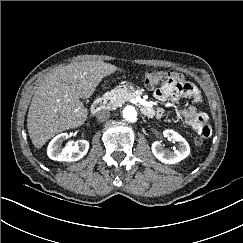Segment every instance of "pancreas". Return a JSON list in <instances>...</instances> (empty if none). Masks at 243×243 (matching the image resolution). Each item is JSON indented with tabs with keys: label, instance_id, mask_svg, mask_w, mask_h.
Returning <instances> with one entry per match:
<instances>
[{
	"label": "pancreas",
	"instance_id": "obj_1",
	"mask_svg": "<svg viewBox=\"0 0 243 243\" xmlns=\"http://www.w3.org/2000/svg\"><path fill=\"white\" fill-rule=\"evenodd\" d=\"M134 93L126 90H112L106 92L103 98L107 101V107L117 108L124 102L130 101L134 97Z\"/></svg>",
	"mask_w": 243,
	"mask_h": 243
}]
</instances>
